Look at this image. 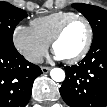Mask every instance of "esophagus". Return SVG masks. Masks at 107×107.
Returning a JSON list of instances; mask_svg holds the SVG:
<instances>
[{
	"label": "esophagus",
	"instance_id": "34e87169",
	"mask_svg": "<svg viewBox=\"0 0 107 107\" xmlns=\"http://www.w3.org/2000/svg\"><path fill=\"white\" fill-rule=\"evenodd\" d=\"M41 70H42V72H43L44 74H47V73L51 70V68H50V67L42 66V67H41Z\"/></svg>",
	"mask_w": 107,
	"mask_h": 107
}]
</instances>
